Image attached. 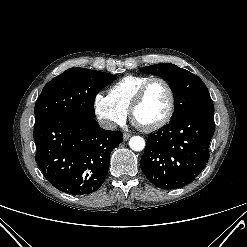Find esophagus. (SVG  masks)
I'll list each match as a JSON object with an SVG mask.
<instances>
[{"label":"esophagus","instance_id":"34e87169","mask_svg":"<svg viewBox=\"0 0 247 247\" xmlns=\"http://www.w3.org/2000/svg\"><path fill=\"white\" fill-rule=\"evenodd\" d=\"M132 135L130 133H123V140L127 141Z\"/></svg>","mask_w":247,"mask_h":247}]
</instances>
